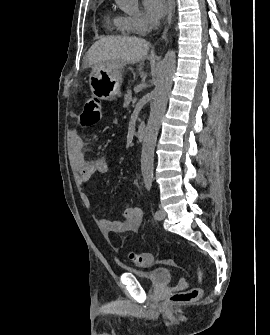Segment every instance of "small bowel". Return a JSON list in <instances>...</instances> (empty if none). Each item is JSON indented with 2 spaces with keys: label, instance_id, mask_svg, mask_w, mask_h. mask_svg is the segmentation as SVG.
Masks as SVG:
<instances>
[{
  "label": "small bowel",
  "instance_id": "c3829d8e",
  "mask_svg": "<svg viewBox=\"0 0 270 335\" xmlns=\"http://www.w3.org/2000/svg\"><path fill=\"white\" fill-rule=\"evenodd\" d=\"M83 147L84 144L78 132L70 130L68 132V160L75 184L81 189L86 186L92 176L103 175L108 172V164L103 159L87 162ZM80 198L85 206H90V199L85 193H81ZM142 216L143 210L141 207L131 206L124 210L121 220H108L99 217L98 223L106 233L136 232L140 227Z\"/></svg>",
  "mask_w": 270,
  "mask_h": 335
}]
</instances>
